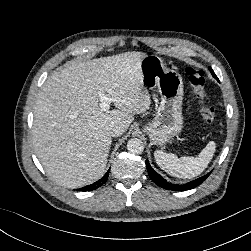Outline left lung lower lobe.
<instances>
[{
  "mask_svg": "<svg viewBox=\"0 0 251 251\" xmlns=\"http://www.w3.org/2000/svg\"><path fill=\"white\" fill-rule=\"evenodd\" d=\"M214 78L217 79V76H214ZM146 166L149 177L152 179V181L155 182V184L158 185L159 187L164 188L166 190L185 191L195 188L196 186L200 185L203 181H205L210 174L208 173L207 175H204L186 184H172L167 182L164 178H162V176H160L156 171H154L153 168L150 166L148 160H146Z\"/></svg>",
  "mask_w": 251,
  "mask_h": 251,
  "instance_id": "0a47b994",
  "label": "left lung lower lobe"
}]
</instances>
